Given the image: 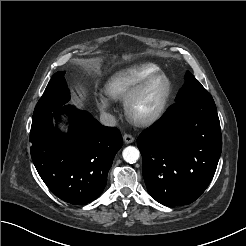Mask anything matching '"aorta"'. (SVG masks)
Returning a JSON list of instances; mask_svg holds the SVG:
<instances>
[{
  "label": "aorta",
  "instance_id": "aorta-1",
  "mask_svg": "<svg viewBox=\"0 0 246 246\" xmlns=\"http://www.w3.org/2000/svg\"><path fill=\"white\" fill-rule=\"evenodd\" d=\"M122 156L127 163L133 164L139 159L140 152L136 147L128 146L123 150Z\"/></svg>",
  "mask_w": 246,
  "mask_h": 246
}]
</instances>
